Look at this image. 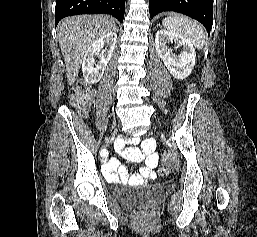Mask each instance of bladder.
I'll return each instance as SVG.
<instances>
[{"mask_svg":"<svg viewBox=\"0 0 257 237\" xmlns=\"http://www.w3.org/2000/svg\"><path fill=\"white\" fill-rule=\"evenodd\" d=\"M161 195V190L158 188L147 189V190H138V191H129L122 199L129 204L138 205V204H152L156 202Z\"/></svg>","mask_w":257,"mask_h":237,"instance_id":"bladder-1","label":"bladder"}]
</instances>
